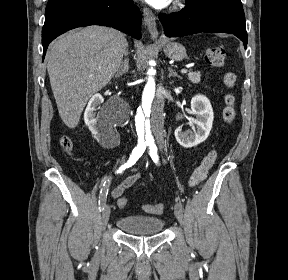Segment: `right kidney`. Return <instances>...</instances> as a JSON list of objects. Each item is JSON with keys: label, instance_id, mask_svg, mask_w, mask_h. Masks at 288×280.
Here are the masks:
<instances>
[{"label": "right kidney", "instance_id": "right-kidney-1", "mask_svg": "<svg viewBox=\"0 0 288 280\" xmlns=\"http://www.w3.org/2000/svg\"><path fill=\"white\" fill-rule=\"evenodd\" d=\"M104 98L100 94H95L90 99L84 113V121L97 142L103 147H109L115 138V129L107 124L104 113L96 116V108L102 104Z\"/></svg>", "mask_w": 288, "mask_h": 280}]
</instances>
